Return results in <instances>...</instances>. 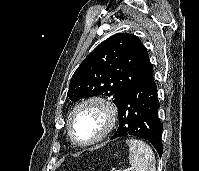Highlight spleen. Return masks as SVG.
<instances>
[{
	"label": "spleen",
	"mask_w": 199,
	"mask_h": 171,
	"mask_svg": "<svg viewBox=\"0 0 199 171\" xmlns=\"http://www.w3.org/2000/svg\"><path fill=\"white\" fill-rule=\"evenodd\" d=\"M126 143L133 171H156L155 155L148 144L137 139H128Z\"/></svg>",
	"instance_id": "1"
}]
</instances>
